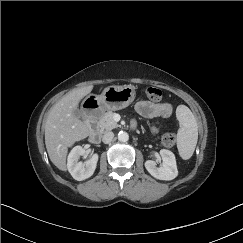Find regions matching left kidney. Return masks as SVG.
Segmentation results:
<instances>
[{"label":"left kidney","instance_id":"left-kidney-1","mask_svg":"<svg viewBox=\"0 0 243 243\" xmlns=\"http://www.w3.org/2000/svg\"><path fill=\"white\" fill-rule=\"evenodd\" d=\"M160 155L162 158V165L160 167L156 166L155 161L147 160L145 168L156 179L173 180L178 175L175 155L166 149L160 150Z\"/></svg>","mask_w":243,"mask_h":243}]
</instances>
